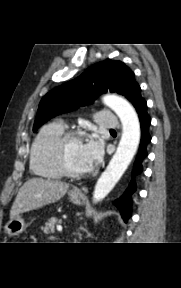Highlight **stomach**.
Masks as SVG:
<instances>
[{
  "instance_id": "stomach-1",
  "label": "stomach",
  "mask_w": 181,
  "mask_h": 288,
  "mask_svg": "<svg viewBox=\"0 0 181 288\" xmlns=\"http://www.w3.org/2000/svg\"><path fill=\"white\" fill-rule=\"evenodd\" d=\"M69 197L70 200L77 205H80L82 202V197L74 191L69 192ZM26 227L27 224L25 223V220L20 215H17L8 221L4 227V231L9 236H18L26 229Z\"/></svg>"
}]
</instances>
